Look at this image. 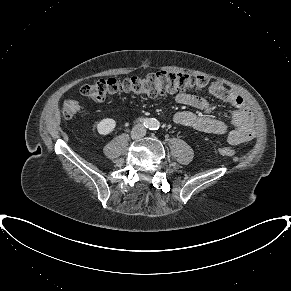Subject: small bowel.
<instances>
[{
  "instance_id": "1",
  "label": "small bowel",
  "mask_w": 291,
  "mask_h": 291,
  "mask_svg": "<svg viewBox=\"0 0 291 291\" xmlns=\"http://www.w3.org/2000/svg\"><path fill=\"white\" fill-rule=\"evenodd\" d=\"M215 97L225 101L233 107L229 115V122H223L207 116H199L190 111H180L174 115V122L180 126L190 127L197 131L224 135L231 145L250 141L255 136L253 118L250 108L242 97L233 90L221 87L220 90H209ZM179 104L210 111V104L206 99L189 93H178L175 97Z\"/></svg>"
}]
</instances>
